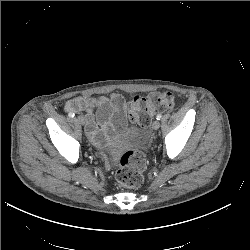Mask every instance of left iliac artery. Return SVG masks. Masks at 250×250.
<instances>
[{
    "instance_id": "obj_1",
    "label": "left iliac artery",
    "mask_w": 250,
    "mask_h": 250,
    "mask_svg": "<svg viewBox=\"0 0 250 250\" xmlns=\"http://www.w3.org/2000/svg\"><path fill=\"white\" fill-rule=\"evenodd\" d=\"M162 118V115L161 114H158L157 116H156V119L157 120H160Z\"/></svg>"
}]
</instances>
